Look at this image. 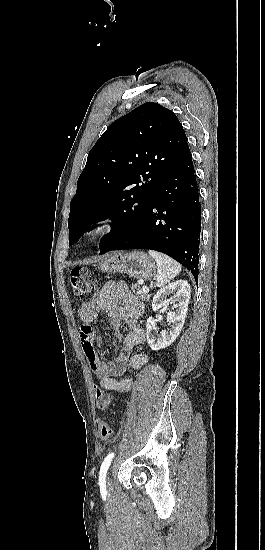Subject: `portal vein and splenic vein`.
<instances>
[{
    "label": "portal vein and splenic vein",
    "mask_w": 265,
    "mask_h": 550,
    "mask_svg": "<svg viewBox=\"0 0 265 550\" xmlns=\"http://www.w3.org/2000/svg\"><path fill=\"white\" fill-rule=\"evenodd\" d=\"M142 290L144 293H149V288L147 286H143Z\"/></svg>",
    "instance_id": "1"
}]
</instances>
